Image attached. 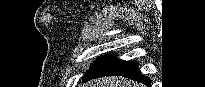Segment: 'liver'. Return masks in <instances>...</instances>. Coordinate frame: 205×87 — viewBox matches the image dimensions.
Returning <instances> with one entry per match:
<instances>
[{
    "mask_svg": "<svg viewBox=\"0 0 205 87\" xmlns=\"http://www.w3.org/2000/svg\"><path fill=\"white\" fill-rule=\"evenodd\" d=\"M83 87H142V84L123 77H102L87 82Z\"/></svg>",
    "mask_w": 205,
    "mask_h": 87,
    "instance_id": "obj_1",
    "label": "liver"
}]
</instances>
